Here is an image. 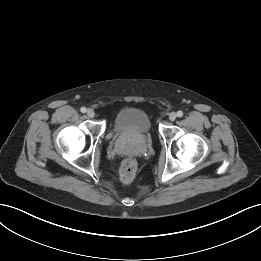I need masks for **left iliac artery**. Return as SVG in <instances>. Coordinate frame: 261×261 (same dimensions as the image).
<instances>
[{
    "mask_svg": "<svg viewBox=\"0 0 261 261\" xmlns=\"http://www.w3.org/2000/svg\"><path fill=\"white\" fill-rule=\"evenodd\" d=\"M177 116H178V117H182V116H183V112H182V111H178V112H177Z\"/></svg>",
    "mask_w": 261,
    "mask_h": 261,
    "instance_id": "1",
    "label": "left iliac artery"
}]
</instances>
